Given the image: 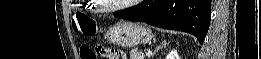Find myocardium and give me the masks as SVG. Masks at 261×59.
Segmentation results:
<instances>
[{
	"mask_svg": "<svg viewBox=\"0 0 261 59\" xmlns=\"http://www.w3.org/2000/svg\"><path fill=\"white\" fill-rule=\"evenodd\" d=\"M94 2L97 4L100 11L106 12V13L120 11V10L126 9L129 6V4H120V5H116V6H105L103 4H98L99 1H94Z\"/></svg>",
	"mask_w": 261,
	"mask_h": 59,
	"instance_id": "f54148a6",
	"label": "myocardium"
}]
</instances>
